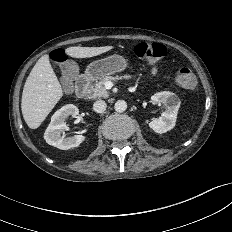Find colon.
<instances>
[{"label": "colon", "mask_w": 232, "mask_h": 232, "mask_svg": "<svg viewBox=\"0 0 232 232\" xmlns=\"http://www.w3.org/2000/svg\"><path fill=\"white\" fill-rule=\"evenodd\" d=\"M166 47L159 43L140 42L135 45L134 53L141 60L157 61L166 55ZM52 60L58 63H66L67 56L62 49H55L50 53ZM74 74L71 64L64 67V84H70V78ZM175 82L184 89H192L196 85V78L192 71L187 67H180L174 75Z\"/></svg>", "instance_id": "obj_1"}]
</instances>
